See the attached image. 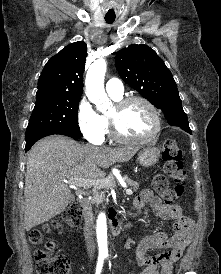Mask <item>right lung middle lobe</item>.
<instances>
[{
  "mask_svg": "<svg viewBox=\"0 0 221 274\" xmlns=\"http://www.w3.org/2000/svg\"><path fill=\"white\" fill-rule=\"evenodd\" d=\"M80 98L67 96L36 99L26 130V141L49 132H66L81 137L77 118Z\"/></svg>",
  "mask_w": 221,
  "mask_h": 274,
  "instance_id": "1",
  "label": "right lung middle lobe"
}]
</instances>
